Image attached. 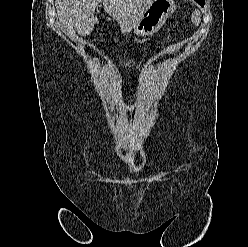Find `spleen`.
<instances>
[{
    "label": "spleen",
    "mask_w": 248,
    "mask_h": 247,
    "mask_svg": "<svg viewBox=\"0 0 248 247\" xmlns=\"http://www.w3.org/2000/svg\"><path fill=\"white\" fill-rule=\"evenodd\" d=\"M191 21L195 24V25H199V23L201 22V14L199 10H195L192 13L191 16Z\"/></svg>",
    "instance_id": "1"
}]
</instances>
